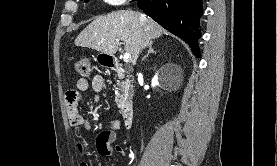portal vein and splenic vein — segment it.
<instances>
[{
  "instance_id": "obj_1",
  "label": "portal vein and splenic vein",
  "mask_w": 277,
  "mask_h": 166,
  "mask_svg": "<svg viewBox=\"0 0 277 166\" xmlns=\"http://www.w3.org/2000/svg\"><path fill=\"white\" fill-rule=\"evenodd\" d=\"M116 41L117 42H119V39H116ZM123 60H124V62H126V63H128V62H130L131 61V55H130V53H125L124 54V56H123Z\"/></svg>"
}]
</instances>
